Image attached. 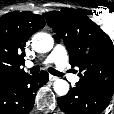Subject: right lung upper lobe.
<instances>
[{"label":"right lung upper lobe","instance_id":"cb5924a9","mask_svg":"<svg viewBox=\"0 0 114 114\" xmlns=\"http://www.w3.org/2000/svg\"><path fill=\"white\" fill-rule=\"evenodd\" d=\"M45 26L41 15L30 12H10L0 17V83L26 75L25 45L36 31Z\"/></svg>","mask_w":114,"mask_h":114}]
</instances>
